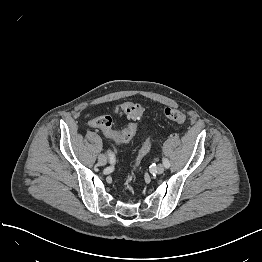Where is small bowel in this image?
<instances>
[{
  "label": "small bowel",
  "mask_w": 262,
  "mask_h": 262,
  "mask_svg": "<svg viewBox=\"0 0 262 262\" xmlns=\"http://www.w3.org/2000/svg\"><path fill=\"white\" fill-rule=\"evenodd\" d=\"M96 119V118H95ZM94 119H92L91 121H90V125H92L91 123H92V121H93Z\"/></svg>",
  "instance_id": "c3829d8e"
}]
</instances>
